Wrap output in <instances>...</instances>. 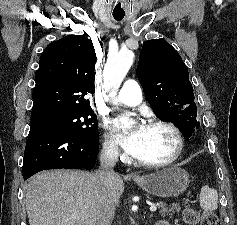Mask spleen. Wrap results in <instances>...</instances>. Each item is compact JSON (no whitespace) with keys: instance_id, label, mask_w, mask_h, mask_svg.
<instances>
[{"instance_id":"1","label":"spleen","mask_w":237,"mask_h":225,"mask_svg":"<svg viewBox=\"0 0 237 225\" xmlns=\"http://www.w3.org/2000/svg\"><path fill=\"white\" fill-rule=\"evenodd\" d=\"M200 206L205 211H214L218 208V193L216 190L204 185L199 195Z\"/></svg>"}]
</instances>
